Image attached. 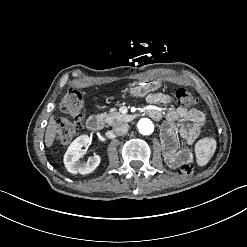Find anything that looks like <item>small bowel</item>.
I'll return each mask as SVG.
<instances>
[{"mask_svg": "<svg viewBox=\"0 0 247 247\" xmlns=\"http://www.w3.org/2000/svg\"><path fill=\"white\" fill-rule=\"evenodd\" d=\"M170 95L157 92L147 96V113L153 120H160L162 117L159 106L171 103ZM204 122V114L198 109H187L177 107L167 113L166 123L162 127L161 139L163 143L164 157L166 161L174 166L177 155L176 134L188 144H193L200 136L201 127Z\"/></svg>", "mask_w": 247, "mask_h": 247, "instance_id": "small-bowel-1", "label": "small bowel"}]
</instances>
